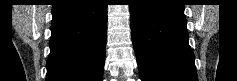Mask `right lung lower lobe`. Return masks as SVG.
Listing matches in <instances>:
<instances>
[{
	"label": "right lung lower lobe",
	"mask_w": 237,
	"mask_h": 81,
	"mask_svg": "<svg viewBox=\"0 0 237 81\" xmlns=\"http://www.w3.org/2000/svg\"><path fill=\"white\" fill-rule=\"evenodd\" d=\"M106 30L104 1H57L52 7L46 81H102Z\"/></svg>",
	"instance_id": "obj_1"
}]
</instances>
